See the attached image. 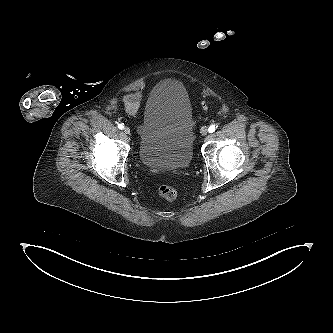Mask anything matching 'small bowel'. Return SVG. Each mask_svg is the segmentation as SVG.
Segmentation results:
<instances>
[{
  "mask_svg": "<svg viewBox=\"0 0 333 333\" xmlns=\"http://www.w3.org/2000/svg\"><path fill=\"white\" fill-rule=\"evenodd\" d=\"M141 100L140 93L129 94L123 98V104L125 111L129 115H135L139 109V104Z\"/></svg>",
  "mask_w": 333,
  "mask_h": 333,
  "instance_id": "small-bowel-1",
  "label": "small bowel"
}]
</instances>
